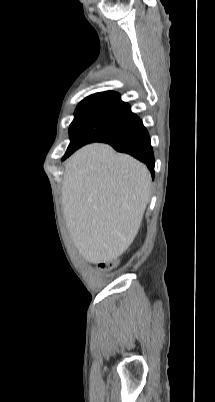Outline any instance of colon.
Instances as JSON below:
<instances>
[{
	"label": "colon",
	"mask_w": 215,
	"mask_h": 402,
	"mask_svg": "<svg viewBox=\"0 0 215 402\" xmlns=\"http://www.w3.org/2000/svg\"><path fill=\"white\" fill-rule=\"evenodd\" d=\"M115 266V262L114 261H109V262H105L100 264V267L103 269H111Z\"/></svg>",
	"instance_id": "colon-1"
}]
</instances>
